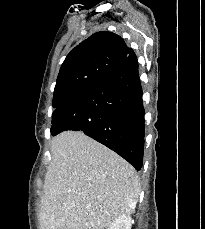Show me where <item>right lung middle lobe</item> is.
Here are the masks:
<instances>
[{
  "instance_id": "dd1d6c3e",
  "label": "right lung middle lobe",
  "mask_w": 205,
  "mask_h": 229,
  "mask_svg": "<svg viewBox=\"0 0 205 229\" xmlns=\"http://www.w3.org/2000/svg\"><path fill=\"white\" fill-rule=\"evenodd\" d=\"M74 97H75V96H74ZM72 98H73V97H72ZM72 98H66V99L62 100V101H61V105H60L59 107H56V106H55V107L53 106V107L56 108V109H57V108H60V107H62L63 105H65L68 101H70Z\"/></svg>"
}]
</instances>
